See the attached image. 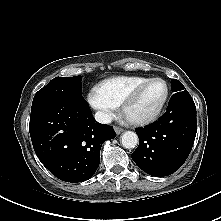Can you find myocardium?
<instances>
[{"instance_id":"1","label":"myocardium","mask_w":221,"mask_h":221,"mask_svg":"<svg viewBox=\"0 0 221 221\" xmlns=\"http://www.w3.org/2000/svg\"><path fill=\"white\" fill-rule=\"evenodd\" d=\"M155 82H160L164 85L165 87V94L164 97L161 101V103L159 104V106L157 107V109L150 115L144 117V118H138V119H133L130 118L128 115L129 109L130 107L139 99L142 91L149 86L152 83ZM169 94H170V90H169V86L167 84V82L161 78H151L148 79L147 81L143 82L142 84H140L138 87H136L128 96L127 98L124 100L123 104H122V112L125 115V117L133 124L137 125V126H147L150 125L152 123H154L155 121H157L159 119V117L161 116L167 102L169 99Z\"/></svg>"}]
</instances>
